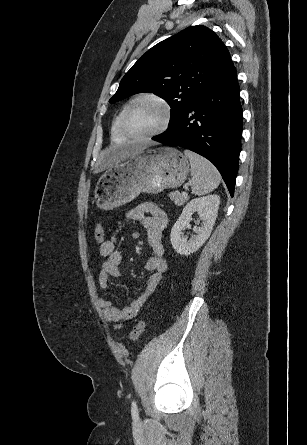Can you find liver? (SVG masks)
<instances>
[{"mask_svg": "<svg viewBox=\"0 0 307 445\" xmlns=\"http://www.w3.org/2000/svg\"><path fill=\"white\" fill-rule=\"evenodd\" d=\"M126 152V148H123V150H111V148L101 150V154L97 160V166H100V168H96L95 172H101L104 168H109V166H113L116 162L124 160Z\"/></svg>", "mask_w": 307, "mask_h": 445, "instance_id": "6515ba94", "label": "liver"}]
</instances>
